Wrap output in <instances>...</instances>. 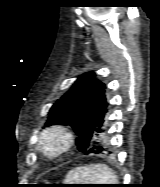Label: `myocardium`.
<instances>
[{"label":"myocardium","instance_id":"myocardium-1","mask_svg":"<svg viewBox=\"0 0 160 187\" xmlns=\"http://www.w3.org/2000/svg\"><path fill=\"white\" fill-rule=\"evenodd\" d=\"M72 133L62 125L45 128L37 143V149L46 159H54L66 153L73 145Z\"/></svg>","mask_w":160,"mask_h":187}]
</instances>
